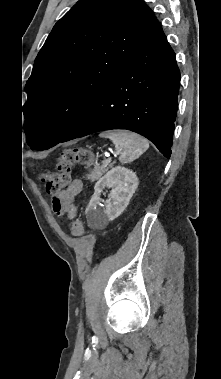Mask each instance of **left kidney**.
Instances as JSON below:
<instances>
[{
    "mask_svg": "<svg viewBox=\"0 0 221 379\" xmlns=\"http://www.w3.org/2000/svg\"><path fill=\"white\" fill-rule=\"evenodd\" d=\"M105 187L112 188L105 205L100 203V195ZM138 187L136 174L127 168L116 166L107 172L94 187V194L86 208V218L90 227H103L116 219L128 206Z\"/></svg>",
    "mask_w": 221,
    "mask_h": 379,
    "instance_id": "obj_1",
    "label": "left kidney"
}]
</instances>
